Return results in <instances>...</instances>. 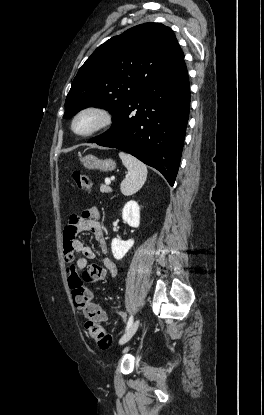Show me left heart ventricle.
I'll return each instance as SVG.
<instances>
[{
  "label": "left heart ventricle",
  "instance_id": "obj_1",
  "mask_svg": "<svg viewBox=\"0 0 264 415\" xmlns=\"http://www.w3.org/2000/svg\"><path fill=\"white\" fill-rule=\"evenodd\" d=\"M98 122V117L93 114H85L80 117L76 123V130L86 132L90 130Z\"/></svg>",
  "mask_w": 264,
  "mask_h": 415
}]
</instances>
